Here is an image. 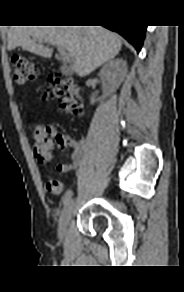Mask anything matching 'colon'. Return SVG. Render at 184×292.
Instances as JSON below:
<instances>
[{
    "instance_id": "1",
    "label": "colon",
    "mask_w": 184,
    "mask_h": 292,
    "mask_svg": "<svg viewBox=\"0 0 184 292\" xmlns=\"http://www.w3.org/2000/svg\"><path fill=\"white\" fill-rule=\"evenodd\" d=\"M13 76L20 85H26L37 77L34 64L22 56L12 58ZM49 86L43 96L45 99L57 98L60 102V109L64 113L80 115L83 112L84 101L80 88L70 78L60 74H52L49 79ZM33 152L40 164H47L52 158L51 128L41 124L32 127ZM46 189L52 194H60L63 190V183L58 179H49L46 182Z\"/></svg>"
}]
</instances>
